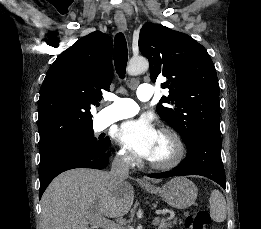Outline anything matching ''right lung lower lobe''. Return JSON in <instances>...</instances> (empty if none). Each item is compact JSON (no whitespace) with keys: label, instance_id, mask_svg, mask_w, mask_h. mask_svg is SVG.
Returning <instances> with one entry per match:
<instances>
[{"label":"right lung lower lobe","instance_id":"1","mask_svg":"<svg viewBox=\"0 0 261 229\" xmlns=\"http://www.w3.org/2000/svg\"><path fill=\"white\" fill-rule=\"evenodd\" d=\"M109 150L99 153L63 154L40 161L39 198L49 183L60 173L74 168L104 169L109 163Z\"/></svg>","mask_w":261,"mask_h":229}]
</instances>
